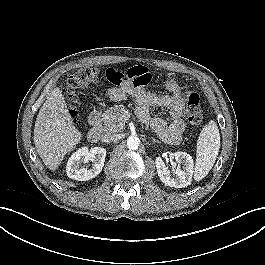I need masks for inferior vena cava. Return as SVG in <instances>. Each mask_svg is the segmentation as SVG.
<instances>
[{"label":"inferior vena cava","mask_w":265,"mask_h":265,"mask_svg":"<svg viewBox=\"0 0 265 265\" xmlns=\"http://www.w3.org/2000/svg\"><path fill=\"white\" fill-rule=\"evenodd\" d=\"M120 139V134L117 133H107L103 137L104 142H116Z\"/></svg>","instance_id":"1"}]
</instances>
